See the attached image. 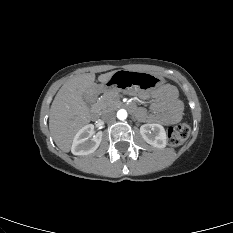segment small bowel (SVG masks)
Here are the masks:
<instances>
[{
  "label": "small bowel",
  "instance_id": "obj_1",
  "mask_svg": "<svg viewBox=\"0 0 233 233\" xmlns=\"http://www.w3.org/2000/svg\"><path fill=\"white\" fill-rule=\"evenodd\" d=\"M139 96L142 99L148 98L146 92H140ZM151 96L155 99V102L152 104L153 113L147 114L145 110L139 109L137 111V116L140 119L169 124L175 123L181 118L183 105L173 86L165 85L156 89L151 93Z\"/></svg>",
  "mask_w": 233,
  "mask_h": 233
}]
</instances>
